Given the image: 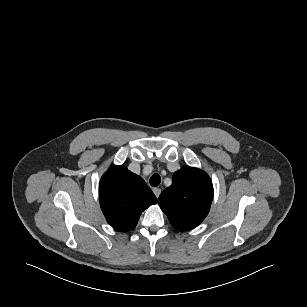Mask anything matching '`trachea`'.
I'll return each mask as SVG.
<instances>
[{"mask_svg": "<svg viewBox=\"0 0 307 307\" xmlns=\"http://www.w3.org/2000/svg\"><path fill=\"white\" fill-rule=\"evenodd\" d=\"M161 182V177L159 174H153L151 177H150V185L152 187H157Z\"/></svg>", "mask_w": 307, "mask_h": 307, "instance_id": "3493384b", "label": "trachea"}]
</instances>
